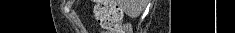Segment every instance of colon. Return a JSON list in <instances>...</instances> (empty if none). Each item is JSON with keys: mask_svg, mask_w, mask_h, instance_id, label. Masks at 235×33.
<instances>
[{"mask_svg": "<svg viewBox=\"0 0 235 33\" xmlns=\"http://www.w3.org/2000/svg\"><path fill=\"white\" fill-rule=\"evenodd\" d=\"M95 16L100 25L112 33H126L127 26L121 25L122 10L114 0H95Z\"/></svg>", "mask_w": 235, "mask_h": 33, "instance_id": "1", "label": "colon"}]
</instances>
